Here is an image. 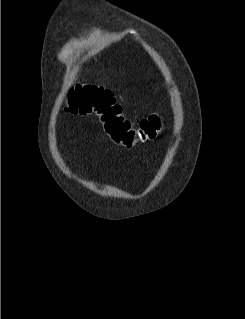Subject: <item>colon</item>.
<instances>
[{"mask_svg": "<svg viewBox=\"0 0 245 319\" xmlns=\"http://www.w3.org/2000/svg\"><path fill=\"white\" fill-rule=\"evenodd\" d=\"M67 111L97 117L106 136L116 145L127 148L153 140L162 125L159 115L150 114L133 126L122 114V106L113 94L93 84L77 85L70 90Z\"/></svg>", "mask_w": 245, "mask_h": 319, "instance_id": "colon-1", "label": "colon"}]
</instances>
